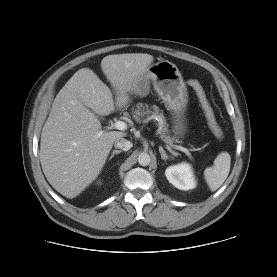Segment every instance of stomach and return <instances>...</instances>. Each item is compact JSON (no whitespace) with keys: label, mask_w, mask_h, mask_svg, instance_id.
<instances>
[{"label":"stomach","mask_w":277,"mask_h":277,"mask_svg":"<svg viewBox=\"0 0 277 277\" xmlns=\"http://www.w3.org/2000/svg\"><path fill=\"white\" fill-rule=\"evenodd\" d=\"M150 83L153 84L168 110L172 112L174 131L176 134H183L186 128L184 112L188 95L179 69L168 60H160L148 67L146 72L132 85L129 93L141 97L146 96L150 90Z\"/></svg>","instance_id":"1"}]
</instances>
